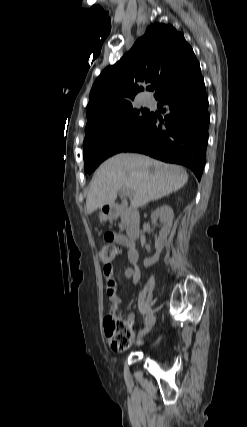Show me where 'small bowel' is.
Segmentation results:
<instances>
[{"instance_id": "small-bowel-1", "label": "small bowel", "mask_w": 247, "mask_h": 427, "mask_svg": "<svg viewBox=\"0 0 247 427\" xmlns=\"http://www.w3.org/2000/svg\"><path fill=\"white\" fill-rule=\"evenodd\" d=\"M105 239L106 244H111L112 241L115 243L124 246L128 248L127 251V262L128 267L124 269V276L128 279H130L134 284H137L140 280V271L137 267L138 262V252L133 244L129 243L125 236L121 234H113L111 230L105 231ZM105 278H106V284H107V295L111 303V309L110 313L116 315L118 312L121 304L122 299L118 294V285L114 278V270L113 266L111 264L105 265L103 269ZM125 321L132 325L135 321V314L129 313L126 316Z\"/></svg>"}]
</instances>
